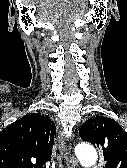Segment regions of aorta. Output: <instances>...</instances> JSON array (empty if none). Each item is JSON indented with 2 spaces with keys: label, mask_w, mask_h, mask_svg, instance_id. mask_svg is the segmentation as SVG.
<instances>
[{
  "label": "aorta",
  "mask_w": 127,
  "mask_h": 168,
  "mask_svg": "<svg viewBox=\"0 0 127 168\" xmlns=\"http://www.w3.org/2000/svg\"><path fill=\"white\" fill-rule=\"evenodd\" d=\"M75 154L80 164L84 167L93 166L98 159V155L95 148L87 143H81L77 145L75 149Z\"/></svg>",
  "instance_id": "obj_1"
}]
</instances>
